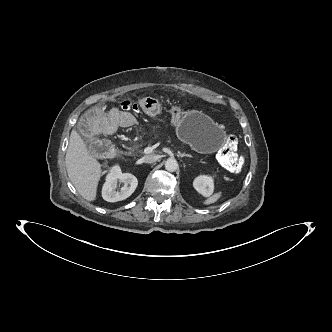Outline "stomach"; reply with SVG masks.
<instances>
[{
  "instance_id": "1",
  "label": "stomach",
  "mask_w": 332,
  "mask_h": 332,
  "mask_svg": "<svg viewBox=\"0 0 332 332\" xmlns=\"http://www.w3.org/2000/svg\"><path fill=\"white\" fill-rule=\"evenodd\" d=\"M171 114L177 136L195 150L210 153L224 145L226 138L224 129L203 111L183 112L179 106H175Z\"/></svg>"
}]
</instances>
